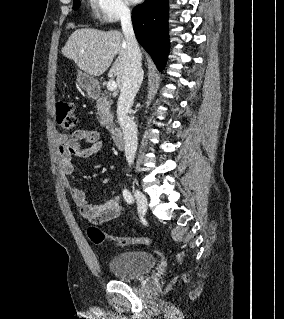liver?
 Instances as JSON below:
<instances>
[{"instance_id": "liver-1", "label": "liver", "mask_w": 284, "mask_h": 319, "mask_svg": "<svg viewBox=\"0 0 284 319\" xmlns=\"http://www.w3.org/2000/svg\"><path fill=\"white\" fill-rule=\"evenodd\" d=\"M62 54L92 77L102 75L118 55L108 76L116 77L117 86L121 89L128 64L127 44L121 32L77 29L62 48Z\"/></svg>"}]
</instances>
